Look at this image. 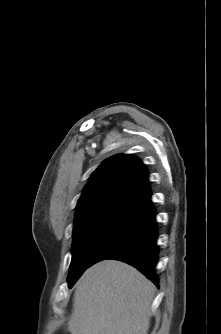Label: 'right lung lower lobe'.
<instances>
[{
    "label": "right lung lower lobe",
    "instance_id": "98d812e1",
    "mask_svg": "<svg viewBox=\"0 0 221 334\" xmlns=\"http://www.w3.org/2000/svg\"><path fill=\"white\" fill-rule=\"evenodd\" d=\"M155 209L145 217L143 224L106 259H116L136 267L154 284H158L155 266L159 248L156 244L158 230Z\"/></svg>",
    "mask_w": 221,
    "mask_h": 334
}]
</instances>
